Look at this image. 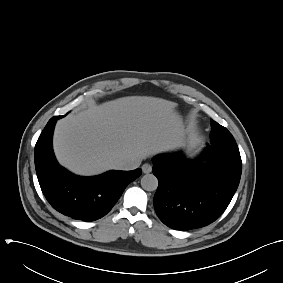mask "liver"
Wrapping results in <instances>:
<instances>
[{
    "label": "liver",
    "mask_w": 283,
    "mask_h": 283,
    "mask_svg": "<svg viewBox=\"0 0 283 283\" xmlns=\"http://www.w3.org/2000/svg\"><path fill=\"white\" fill-rule=\"evenodd\" d=\"M176 106L146 96L91 105L57 122L55 155L60 164L79 175L115 169L121 159L141 162L178 145L183 125Z\"/></svg>",
    "instance_id": "obj_1"
}]
</instances>
